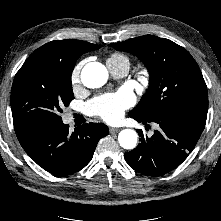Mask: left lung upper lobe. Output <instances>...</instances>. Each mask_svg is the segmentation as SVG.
I'll return each mask as SVG.
<instances>
[{"label": "left lung upper lobe", "mask_w": 221, "mask_h": 221, "mask_svg": "<svg viewBox=\"0 0 221 221\" xmlns=\"http://www.w3.org/2000/svg\"><path fill=\"white\" fill-rule=\"evenodd\" d=\"M111 46L137 56L149 71V87L129 115L153 119L195 112L207 117L206 83L196 61L183 47L153 35Z\"/></svg>", "instance_id": "5c2ea615"}]
</instances>
